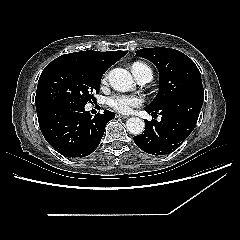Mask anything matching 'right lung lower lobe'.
Instances as JSON below:
<instances>
[{
	"instance_id": "98d812e1",
	"label": "right lung lower lobe",
	"mask_w": 240,
	"mask_h": 240,
	"mask_svg": "<svg viewBox=\"0 0 240 240\" xmlns=\"http://www.w3.org/2000/svg\"><path fill=\"white\" fill-rule=\"evenodd\" d=\"M37 109L38 122L46 141L69 158L90 155L99 145L106 124L115 116L105 110L92 117L84 106L57 102Z\"/></svg>"
}]
</instances>
